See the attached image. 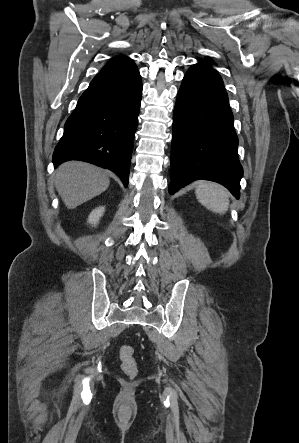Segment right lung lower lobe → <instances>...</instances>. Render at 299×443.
Returning a JSON list of instances; mask_svg holds the SVG:
<instances>
[{
	"label": "right lung lower lobe",
	"instance_id": "1",
	"mask_svg": "<svg viewBox=\"0 0 299 443\" xmlns=\"http://www.w3.org/2000/svg\"><path fill=\"white\" fill-rule=\"evenodd\" d=\"M141 96L137 67L97 74L65 123L54 166L67 160L94 163L115 172L127 187Z\"/></svg>",
	"mask_w": 299,
	"mask_h": 443
}]
</instances>
